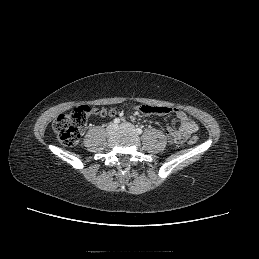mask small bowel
I'll return each instance as SVG.
<instances>
[{
  "label": "small bowel",
  "instance_id": "c3829d8e",
  "mask_svg": "<svg viewBox=\"0 0 259 259\" xmlns=\"http://www.w3.org/2000/svg\"><path fill=\"white\" fill-rule=\"evenodd\" d=\"M138 110L143 114H153L157 116L162 114L173 115L178 122V128L168 127L165 131V135L171 143H181L187 136L198 130V125L195 121H193L185 112L177 108L142 104L138 107Z\"/></svg>",
  "mask_w": 259,
  "mask_h": 259
}]
</instances>
